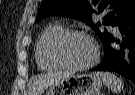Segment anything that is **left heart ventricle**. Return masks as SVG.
Returning a JSON list of instances; mask_svg holds the SVG:
<instances>
[{"mask_svg":"<svg viewBox=\"0 0 135 95\" xmlns=\"http://www.w3.org/2000/svg\"><path fill=\"white\" fill-rule=\"evenodd\" d=\"M61 57L69 64L82 65L89 62L93 55V46L83 37H70L60 48Z\"/></svg>","mask_w":135,"mask_h":95,"instance_id":"left-heart-ventricle-1","label":"left heart ventricle"}]
</instances>
